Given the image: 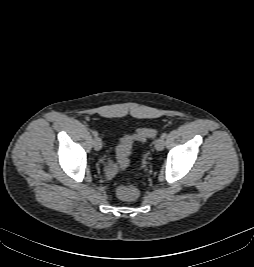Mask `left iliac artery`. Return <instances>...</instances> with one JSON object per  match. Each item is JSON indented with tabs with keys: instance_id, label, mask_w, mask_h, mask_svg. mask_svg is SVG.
<instances>
[{
	"instance_id": "obj_1",
	"label": "left iliac artery",
	"mask_w": 254,
	"mask_h": 267,
	"mask_svg": "<svg viewBox=\"0 0 254 267\" xmlns=\"http://www.w3.org/2000/svg\"><path fill=\"white\" fill-rule=\"evenodd\" d=\"M167 135H168V134L165 132V133H163V134L161 135V137H162V138H166Z\"/></svg>"
}]
</instances>
